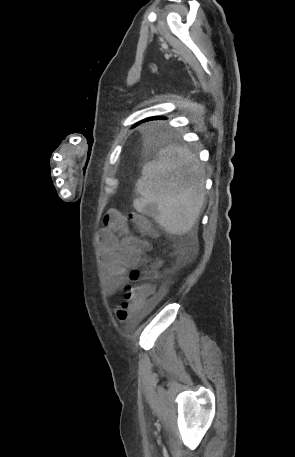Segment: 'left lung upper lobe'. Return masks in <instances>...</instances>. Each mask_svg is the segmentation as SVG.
<instances>
[{"label": "left lung upper lobe", "instance_id": "5c2ea615", "mask_svg": "<svg viewBox=\"0 0 295 457\" xmlns=\"http://www.w3.org/2000/svg\"><path fill=\"white\" fill-rule=\"evenodd\" d=\"M148 119H151V117H150V118H146V119H144V120L138 122L137 124H139V123H141V122H145V121H147ZM137 124H136V125H137Z\"/></svg>", "mask_w": 295, "mask_h": 457}]
</instances>
